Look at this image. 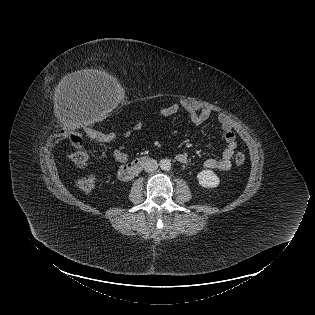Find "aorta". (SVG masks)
Masks as SVG:
<instances>
[{
	"mask_svg": "<svg viewBox=\"0 0 315 315\" xmlns=\"http://www.w3.org/2000/svg\"><path fill=\"white\" fill-rule=\"evenodd\" d=\"M160 167L162 170L168 171L171 169V161L169 159H163L160 161Z\"/></svg>",
	"mask_w": 315,
	"mask_h": 315,
	"instance_id": "1",
	"label": "aorta"
}]
</instances>
